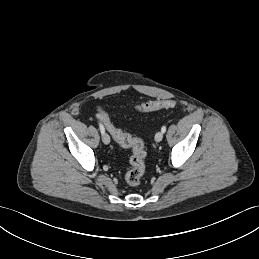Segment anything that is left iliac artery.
Instances as JSON below:
<instances>
[{
  "mask_svg": "<svg viewBox=\"0 0 259 259\" xmlns=\"http://www.w3.org/2000/svg\"><path fill=\"white\" fill-rule=\"evenodd\" d=\"M161 131H162L163 133H165V132H166V126H163V127L161 128Z\"/></svg>",
  "mask_w": 259,
  "mask_h": 259,
  "instance_id": "left-iliac-artery-1",
  "label": "left iliac artery"
}]
</instances>
